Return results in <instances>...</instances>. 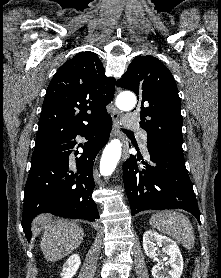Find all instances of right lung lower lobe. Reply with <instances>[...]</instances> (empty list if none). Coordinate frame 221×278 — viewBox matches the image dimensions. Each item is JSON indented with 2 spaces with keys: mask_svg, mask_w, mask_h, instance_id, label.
<instances>
[{
  "mask_svg": "<svg viewBox=\"0 0 221 278\" xmlns=\"http://www.w3.org/2000/svg\"><path fill=\"white\" fill-rule=\"evenodd\" d=\"M111 116L80 128L64 136L41 151L40 157L31 160V168L24 190L22 227L30 241L31 222L41 213L65 218L94 221L99 218L97 205L92 199L95 187L93 164L99 150L109 139ZM77 135L88 142L79 145L83 153L76 165L69 160ZM79 152L76 151L75 155Z\"/></svg>",
  "mask_w": 221,
  "mask_h": 278,
  "instance_id": "right-lung-lower-lobe-1",
  "label": "right lung lower lobe"
}]
</instances>
